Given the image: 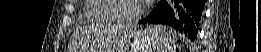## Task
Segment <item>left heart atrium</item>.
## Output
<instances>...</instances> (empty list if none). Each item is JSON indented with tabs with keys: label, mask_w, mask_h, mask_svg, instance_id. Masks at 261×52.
Wrapping results in <instances>:
<instances>
[{
	"label": "left heart atrium",
	"mask_w": 261,
	"mask_h": 52,
	"mask_svg": "<svg viewBox=\"0 0 261 52\" xmlns=\"http://www.w3.org/2000/svg\"><path fill=\"white\" fill-rule=\"evenodd\" d=\"M146 2H150V0H145Z\"/></svg>",
	"instance_id": "39dd6f15"
}]
</instances>
